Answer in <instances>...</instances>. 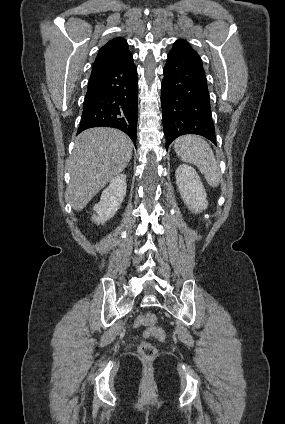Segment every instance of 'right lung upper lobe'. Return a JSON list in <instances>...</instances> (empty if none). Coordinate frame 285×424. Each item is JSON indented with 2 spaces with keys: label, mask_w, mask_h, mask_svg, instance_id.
<instances>
[{
  "label": "right lung upper lobe",
  "mask_w": 285,
  "mask_h": 424,
  "mask_svg": "<svg viewBox=\"0 0 285 424\" xmlns=\"http://www.w3.org/2000/svg\"><path fill=\"white\" fill-rule=\"evenodd\" d=\"M132 59L128 44L124 38H114L100 48L92 72L105 70Z\"/></svg>",
  "instance_id": "right-lung-upper-lobe-1"
}]
</instances>
